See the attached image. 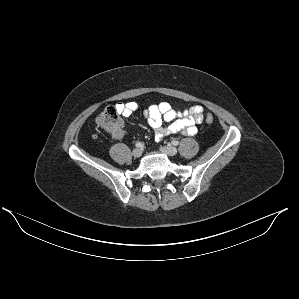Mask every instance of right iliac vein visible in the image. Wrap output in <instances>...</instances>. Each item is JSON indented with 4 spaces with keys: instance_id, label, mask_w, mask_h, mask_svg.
<instances>
[{
    "instance_id": "1",
    "label": "right iliac vein",
    "mask_w": 299,
    "mask_h": 299,
    "mask_svg": "<svg viewBox=\"0 0 299 299\" xmlns=\"http://www.w3.org/2000/svg\"><path fill=\"white\" fill-rule=\"evenodd\" d=\"M141 154H142V151H141V149H139V148H135V149L132 151V155H133L135 158L140 157Z\"/></svg>"
}]
</instances>
